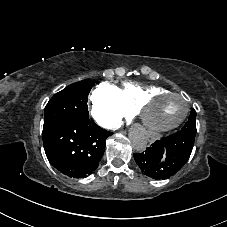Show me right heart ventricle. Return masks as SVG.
<instances>
[{"instance_id": "1", "label": "right heart ventricle", "mask_w": 227, "mask_h": 227, "mask_svg": "<svg viewBox=\"0 0 227 227\" xmlns=\"http://www.w3.org/2000/svg\"><path fill=\"white\" fill-rule=\"evenodd\" d=\"M122 102L129 112L135 111L138 103L147 95L167 90L159 85H145L137 82H124L119 88Z\"/></svg>"}]
</instances>
